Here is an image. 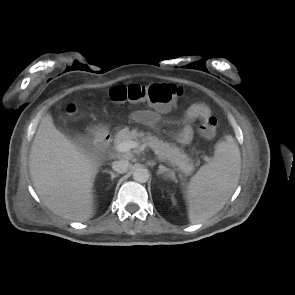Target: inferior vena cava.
Returning a JSON list of instances; mask_svg holds the SVG:
<instances>
[{
    "label": "inferior vena cava",
    "mask_w": 295,
    "mask_h": 295,
    "mask_svg": "<svg viewBox=\"0 0 295 295\" xmlns=\"http://www.w3.org/2000/svg\"><path fill=\"white\" fill-rule=\"evenodd\" d=\"M128 160H118L112 163V169L118 173H125L128 169Z\"/></svg>",
    "instance_id": "1"
}]
</instances>
